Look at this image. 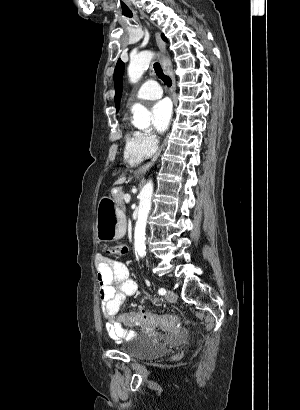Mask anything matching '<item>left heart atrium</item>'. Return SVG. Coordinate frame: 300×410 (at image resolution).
<instances>
[{"label": "left heart atrium", "instance_id": "left-heart-atrium-1", "mask_svg": "<svg viewBox=\"0 0 300 410\" xmlns=\"http://www.w3.org/2000/svg\"><path fill=\"white\" fill-rule=\"evenodd\" d=\"M153 125L160 134L164 133L170 124L172 117V106L168 100L157 102L152 108Z\"/></svg>", "mask_w": 300, "mask_h": 410}]
</instances>
